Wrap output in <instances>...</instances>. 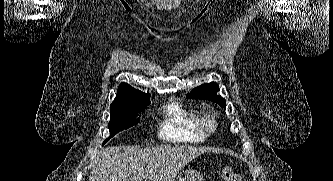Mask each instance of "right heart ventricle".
<instances>
[{
	"mask_svg": "<svg viewBox=\"0 0 333 181\" xmlns=\"http://www.w3.org/2000/svg\"><path fill=\"white\" fill-rule=\"evenodd\" d=\"M163 120L159 136L166 141L176 143H198L205 139L200 128V113L173 101L163 108Z\"/></svg>",
	"mask_w": 333,
	"mask_h": 181,
	"instance_id": "e07e8e85",
	"label": "right heart ventricle"
}]
</instances>
